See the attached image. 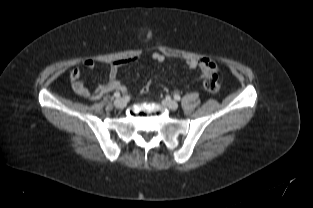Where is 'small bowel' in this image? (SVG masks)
<instances>
[{
	"mask_svg": "<svg viewBox=\"0 0 313 208\" xmlns=\"http://www.w3.org/2000/svg\"><path fill=\"white\" fill-rule=\"evenodd\" d=\"M151 58L158 63H162L165 60V56L160 52H153ZM135 60L136 57H129L113 61L110 66L109 80L106 83L99 85L95 90H91L85 85L81 79V70L79 68H75L70 73L72 89L77 95L93 101L100 99L104 94L113 90L126 92V87L117 79V74L122 66ZM82 64L87 69H92L95 66V62L91 58L85 59ZM186 65L190 70L200 69L202 77H206L209 73L216 71L217 69L216 63L207 57L200 59H188L186 61Z\"/></svg>",
	"mask_w": 313,
	"mask_h": 208,
	"instance_id": "obj_1",
	"label": "small bowel"
}]
</instances>
